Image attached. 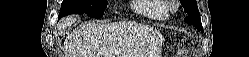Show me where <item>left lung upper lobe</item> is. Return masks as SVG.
I'll return each instance as SVG.
<instances>
[{
  "label": "left lung upper lobe",
  "mask_w": 249,
  "mask_h": 57,
  "mask_svg": "<svg viewBox=\"0 0 249 57\" xmlns=\"http://www.w3.org/2000/svg\"><path fill=\"white\" fill-rule=\"evenodd\" d=\"M180 2L188 14L184 21L188 24H193L197 29L201 30L202 24L196 0H180Z\"/></svg>",
  "instance_id": "obj_1"
}]
</instances>
